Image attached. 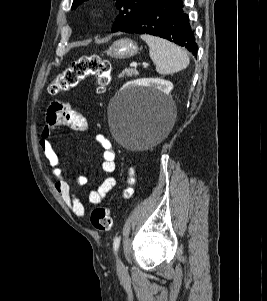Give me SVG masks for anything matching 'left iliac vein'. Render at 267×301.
Returning a JSON list of instances; mask_svg holds the SVG:
<instances>
[{
	"label": "left iliac vein",
	"mask_w": 267,
	"mask_h": 301,
	"mask_svg": "<svg viewBox=\"0 0 267 301\" xmlns=\"http://www.w3.org/2000/svg\"><path fill=\"white\" fill-rule=\"evenodd\" d=\"M117 268L120 272H123L125 270V266L119 257H117Z\"/></svg>",
	"instance_id": "1"
}]
</instances>
